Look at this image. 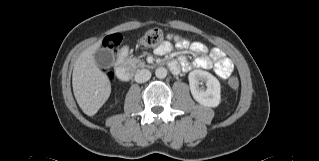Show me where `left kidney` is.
<instances>
[{"instance_id": "5707ae66", "label": "left kidney", "mask_w": 319, "mask_h": 161, "mask_svg": "<svg viewBox=\"0 0 319 161\" xmlns=\"http://www.w3.org/2000/svg\"><path fill=\"white\" fill-rule=\"evenodd\" d=\"M193 98L203 106L217 107L221 100V86L218 79L207 71L193 70L188 75ZM205 82L206 89L199 85Z\"/></svg>"}]
</instances>
